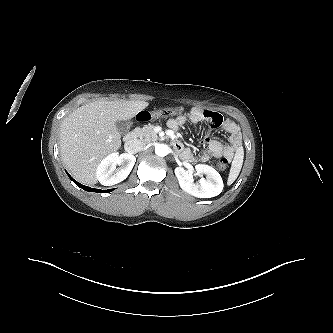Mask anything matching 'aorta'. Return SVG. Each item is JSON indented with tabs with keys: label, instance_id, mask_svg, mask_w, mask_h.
<instances>
[{
	"label": "aorta",
	"instance_id": "obj_1",
	"mask_svg": "<svg viewBox=\"0 0 333 333\" xmlns=\"http://www.w3.org/2000/svg\"><path fill=\"white\" fill-rule=\"evenodd\" d=\"M169 153V147L166 144H157L155 154L159 157H164Z\"/></svg>",
	"mask_w": 333,
	"mask_h": 333
}]
</instances>
